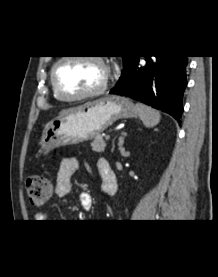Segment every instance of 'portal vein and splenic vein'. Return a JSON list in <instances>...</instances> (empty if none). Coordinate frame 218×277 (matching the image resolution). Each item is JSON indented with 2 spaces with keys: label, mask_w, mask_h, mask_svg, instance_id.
I'll return each mask as SVG.
<instances>
[{
  "label": "portal vein and splenic vein",
  "mask_w": 218,
  "mask_h": 277,
  "mask_svg": "<svg viewBox=\"0 0 218 277\" xmlns=\"http://www.w3.org/2000/svg\"><path fill=\"white\" fill-rule=\"evenodd\" d=\"M109 139H110V135H106L105 140H109Z\"/></svg>",
  "instance_id": "portal-vein-and-splenic-vein-1"
}]
</instances>
